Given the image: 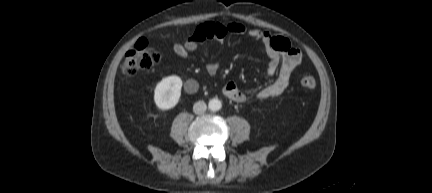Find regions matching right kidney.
I'll return each mask as SVG.
<instances>
[{
  "label": "right kidney",
  "instance_id": "ca27d5eb",
  "mask_svg": "<svg viewBox=\"0 0 432 193\" xmlns=\"http://www.w3.org/2000/svg\"><path fill=\"white\" fill-rule=\"evenodd\" d=\"M182 80L179 76L171 75L163 78L154 90V102L161 111L175 107L181 96Z\"/></svg>",
  "mask_w": 432,
  "mask_h": 193
}]
</instances>
